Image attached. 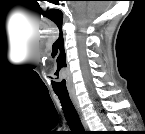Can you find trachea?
I'll return each mask as SVG.
<instances>
[{
	"mask_svg": "<svg viewBox=\"0 0 145 134\" xmlns=\"http://www.w3.org/2000/svg\"><path fill=\"white\" fill-rule=\"evenodd\" d=\"M62 110L65 114L67 123L69 127L74 131V132H84L83 125L81 123V120L79 118V115L69 97V95H60L57 94Z\"/></svg>",
	"mask_w": 145,
	"mask_h": 134,
	"instance_id": "1",
	"label": "trachea"
}]
</instances>
